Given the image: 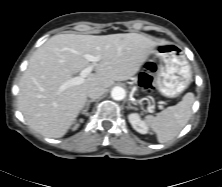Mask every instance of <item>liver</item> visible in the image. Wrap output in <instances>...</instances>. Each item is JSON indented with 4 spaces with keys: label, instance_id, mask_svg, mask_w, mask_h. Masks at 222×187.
I'll use <instances>...</instances> for the list:
<instances>
[{
    "label": "liver",
    "instance_id": "liver-1",
    "mask_svg": "<svg viewBox=\"0 0 222 187\" xmlns=\"http://www.w3.org/2000/svg\"><path fill=\"white\" fill-rule=\"evenodd\" d=\"M157 43L137 33L51 37L33 53L19 83L18 107L26 123L45 137L64 136L85 106L88 89H107L115 81L129 79L153 54ZM84 54L99 58L95 73L82 84L61 90L72 75L93 65Z\"/></svg>",
    "mask_w": 222,
    "mask_h": 187
}]
</instances>
